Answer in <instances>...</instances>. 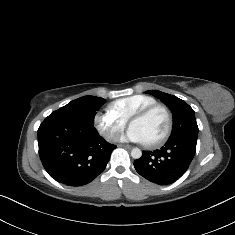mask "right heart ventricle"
<instances>
[{
    "label": "right heart ventricle",
    "mask_w": 235,
    "mask_h": 235,
    "mask_svg": "<svg viewBox=\"0 0 235 235\" xmlns=\"http://www.w3.org/2000/svg\"><path fill=\"white\" fill-rule=\"evenodd\" d=\"M154 104H157L155 98L146 94L139 93L119 98L110 105L117 115L128 120L132 118V116L137 112Z\"/></svg>",
    "instance_id": "e07e8e85"
}]
</instances>
